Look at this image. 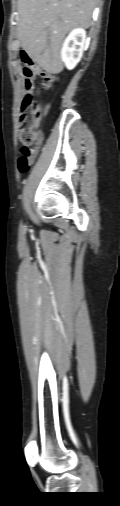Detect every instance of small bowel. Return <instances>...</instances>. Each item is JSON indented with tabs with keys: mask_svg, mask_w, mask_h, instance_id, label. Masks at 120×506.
I'll use <instances>...</instances> for the list:
<instances>
[{
	"mask_svg": "<svg viewBox=\"0 0 120 506\" xmlns=\"http://www.w3.org/2000/svg\"><path fill=\"white\" fill-rule=\"evenodd\" d=\"M32 89H33V85L29 88V91H32ZM45 110L47 111L48 107H46Z\"/></svg>",
	"mask_w": 120,
	"mask_h": 506,
	"instance_id": "obj_1",
	"label": "small bowel"
}]
</instances>
